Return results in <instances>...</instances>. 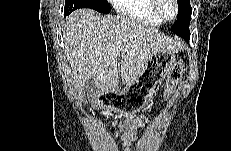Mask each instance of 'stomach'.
<instances>
[{
  "label": "stomach",
  "mask_w": 231,
  "mask_h": 151,
  "mask_svg": "<svg viewBox=\"0 0 231 151\" xmlns=\"http://www.w3.org/2000/svg\"><path fill=\"white\" fill-rule=\"evenodd\" d=\"M176 61L175 54L159 50L149 57L139 76L123 90H112L107 100L111 108L133 115L156 94Z\"/></svg>",
  "instance_id": "1"
}]
</instances>
